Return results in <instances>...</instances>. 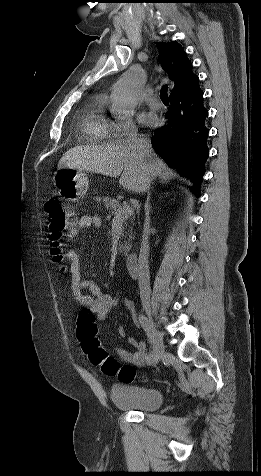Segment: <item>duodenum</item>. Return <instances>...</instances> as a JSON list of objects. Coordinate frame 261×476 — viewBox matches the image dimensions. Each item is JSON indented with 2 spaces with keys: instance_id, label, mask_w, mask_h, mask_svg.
<instances>
[{
  "instance_id": "obj_1",
  "label": "duodenum",
  "mask_w": 261,
  "mask_h": 476,
  "mask_svg": "<svg viewBox=\"0 0 261 476\" xmlns=\"http://www.w3.org/2000/svg\"><path fill=\"white\" fill-rule=\"evenodd\" d=\"M126 268L132 278L139 275V257L137 254H129L126 258Z\"/></svg>"
}]
</instances>
